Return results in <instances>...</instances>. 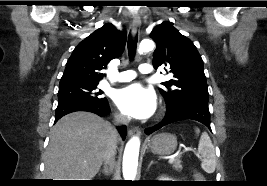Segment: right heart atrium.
<instances>
[{"label":"right heart atrium","mask_w":267,"mask_h":186,"mask_svg":"<svg viewBox=\"0 0 267 186\" xmlns=\"http://www.w3.org/2000/svg\"><path fill=\"white\" fill-rule=\"evenodd\" d=\"M116 119L118 121H124L125 120V117L121 113H117L116 114Z\"/></svg>","instance_id":"obj_1"}]
</instances>
